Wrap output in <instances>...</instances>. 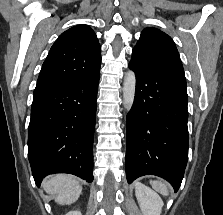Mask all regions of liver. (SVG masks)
Instances as JSON below:
<instances>
[{
    "label": "liver",
    "mask_w": 223,
    "mask_h": 215,
    "mask_svg": "<svg viewBox=\"0 0 223 215\" xmlns=\"http://www.w3.org/2000/svg\"><path fill=\"white\" fill-rule=\"evenodd\" d=\"M42 187L46 193H56L55 201L61 205L74 203L82 191V185L78 179L74 175H67V173L50 175L43 181Z\"/></svg>",
    "instance_id": "obj_1"
}]
</instances>
